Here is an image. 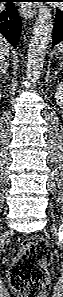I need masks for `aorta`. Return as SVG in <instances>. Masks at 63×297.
Wrapping results in <instances>:
<instances>
[{
    "label": "aorta",
    "mask_w": 63,
    "mask_h": 297,
    "mask_svg": "<svg viewBox=\"0 0 63 297\" xmlns=\"http://www.w3.org/2000/svg\"><path fill=\"white\" fill-rule=\"evenodd\" d=\"M53 24L51 8L43 5L35 22L27 55L26 75L32 84H35L41 75Z\"/></svg>",
    "instance_id": "1"
}]
</instances>
